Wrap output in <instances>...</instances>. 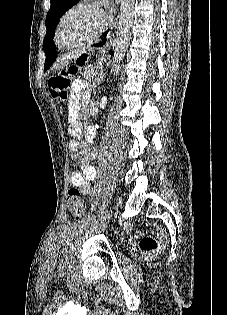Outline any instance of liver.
Returning a JSON list of instances; mask_svg holds the SVG:
<instances>
[{"mask_svg":"<svg viewBox=\"0 0 227 315\" xmlns=\"http://www.w3.org/2000/svg\"><path fill=\"white\" fill-rule=\"evenodd\" d=\"M77 56H67L61 59V61H59L58 63V68H63L64 66H66L68 64V60L75 58Z\"/></svg>","mask_w":227,"mask_h":315,"instance_id":"1","label":"liver"}]
</instances>
